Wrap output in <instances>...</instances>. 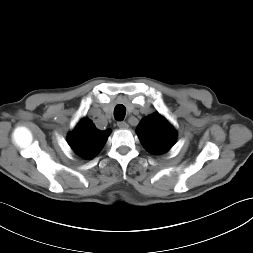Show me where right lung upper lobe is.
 Masks as SVG:
<instances>
[{"instance_id": "right-lung-upper-lobe-1", "label": "right lung upper lobe", "mask_w": 253, "mask_h": 253, "mask_svg": "<svg viewBox=\"0 0 253 253\" xmlns=\"http://www.w3.org/2000/svg\"><path fill=\"white\" fill-rule=\"evenodd\" d=\"M110 133L111 130L96 129L91 120L83 118L68 135V142L76 154L89 159L101 151Z\"/></svg>"}]
</instances>
